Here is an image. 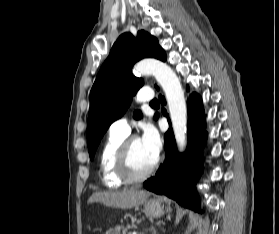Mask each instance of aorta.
Masks as SVG:
<instances>
[{
  "label": "aorta",
  "instance_id": "1",
  "mask_svg": "<svg viewBox=\"0 0 279 234\" xmlns=\"http://www.w3.org/2000/svg\"><path fill=\"white\" fill-rule=\"evenodd\" d=\"M137 76L152 74L163 88L169 106L170 118L178 150L186 147L187 106L179 78L165 63L155 59H145L134 67Z\"/></svg>",
  "mask_w": 279,
  "mask_h": 234
}]
</instances>
